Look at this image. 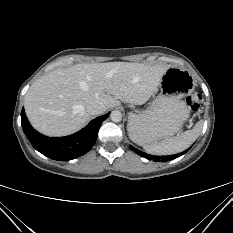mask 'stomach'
Segmentation results:
<instances>
[{
    "label": "stomach",
    "mask_w": 233,
    "mask_h": 233,
    "mask_svg": "<svg viewBox=\"0 0 233 233\" xmlns=\"http://www.w3.org/2000/svg\"><path fill=\"white\" fill-rule=\"evenodd\" d=\"M191 73L169 67L159 83L160 92L145 110L129 113V132L138 134L147 143L169 138L180 131L189 117L187 103L182 100L194 90Z\"/></svg>",
    "instance_id": "1"
}]
</instances>
